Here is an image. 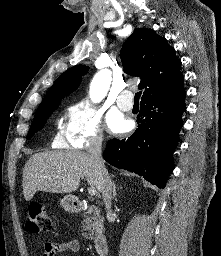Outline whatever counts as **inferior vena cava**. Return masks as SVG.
Instances as JSON below:
<instances>
[{"mask_svg":"<svg viewBox=\"0 0 221 256\" xmlns=\"http://www.w3.org/2000/svg\"><path fill=\"white\" fill-rule=\"evenodd\" d=\"M102 141L103 137L101 135L93 137L88 151L100 171V191L107 209V216H109L111 215L112 204V182L102 159Z\"/></svg>","mask_w":221,"mask_h":256,"instance_id":"obj_1","label":"inferior vena cava"}]
</instances>
